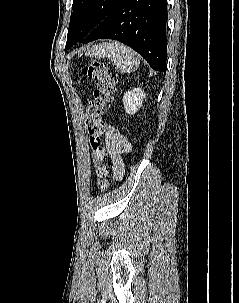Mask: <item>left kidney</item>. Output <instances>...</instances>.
I'll list each match as a JSON object with an SVG mask.
<instances>
[{"label":"left kidney","mask_w":239,"mask_h":303,"mask_svg":"<svg viewBox=\"0 0 239 303\" xmlns=\"http://www.w3.org/2000/svg\"><path fill=\"white\" fill-rule=\"evenodd\" d=\"M145 96L146 94L141 88H135L132 91L126 92L122 100L125 112L129 115H134L142 106Z\"/></svg>","instance_id":"5707ae66"}]
</instances>
